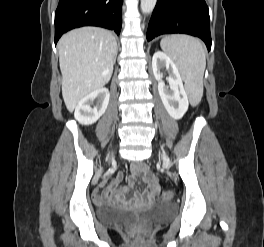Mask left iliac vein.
<instances>
[{
  "instance_id": "obj_1",
  "label": "left iliac vein",
  "mask_w": 264,
  "mask_h": 247,
  "mask_svg": "<svg viewBox=\"0 0 264 247\" xmlns=\"http://www.w3.org/2000/svg\"><path fill=\"white\" fill-rule=\"evenodd\" d=\"M160 156H161V158L163 160L164 165L170 166L171 163H170V160H169L168 156L164 152L161 153Z\"/></svg>"
}]
</instances>
